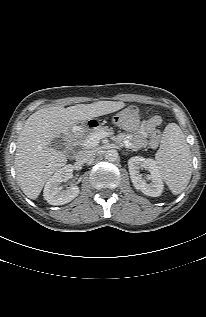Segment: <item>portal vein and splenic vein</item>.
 <instances>
[{
  "label": "portal vein and splenic vein",
  "mask_w": 206,
  "mask_h": 317,
  "mask_svg": "<svg viewBox=\"0 0 206 317\" xmlns=\"http://www.w3.org/2000/svg\"><path fill=\"white\" fill-rule=\"evenodd\" d=\"M108 135H109V133H107V132L93 134L84 143L85 148H91V147L97 146L100 139H103V138L107 137Z\"/></svg>",
  "instance_id": "portal-vein-and-splenic-vein-1"
}]
</instances>
